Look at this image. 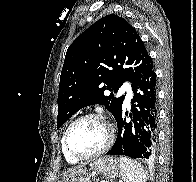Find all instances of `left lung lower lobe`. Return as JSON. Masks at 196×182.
<instances>
[{"mask_svg": "<svg viewBox=\"0 0 196 182\" xmlns=\"http://www.w3.org/2000/svg\"><path fill=\"white\" fill-rule=\"evenodd\" d=\"M131 121L121 108L117 116L118 136L107 155L153 159L156 154L158 132V88L156 73L150 60L132 84Z\"/></svg>", "mask_w": 196, "mask_h": 182, "instance_id": "0a47b994", "label": "left lung lower lobe"}]
</instances>
